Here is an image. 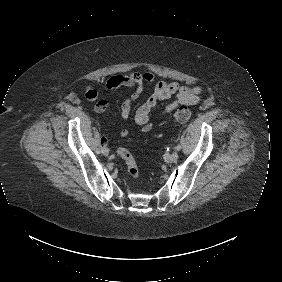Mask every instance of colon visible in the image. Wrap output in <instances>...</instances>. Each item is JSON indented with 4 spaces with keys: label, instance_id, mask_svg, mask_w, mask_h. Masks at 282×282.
<instances>
[{
    "label": "colon",
    "instance_id": "1",
    "mask_svg": "<svg viewBox=\"0 0 282 282\" xmlns=\"http://www.w3.org/2000/svg\"><path fill=\"white\" fill-rule=\"evenodd\" d=\"M173 116L177 121H187L190 117V111L188 108L181 106L175 110ZM117 154L126 163L130 177L138 178L140 175V168L132 152L128 148H119L117 149Z\"/></svg>",
    "mask_w": 282,
    "mask_h": 282
}]
</instances>
